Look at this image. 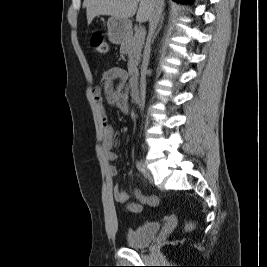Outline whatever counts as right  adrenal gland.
<instances>
[{
    "instance_id": "1",
    "label": "right adrenal gland",
    "mask_w": 267,
    "mask_h": 267,
    "mask_svg": "<svg viewBox=\"0 0 267 267\" xmlns=\"http://www.w3.org/2000/svg\"><path fill=\"white\" fill-rule=\"evenodd\" d=\"M163 21H164V15H162V17L160 19V23L158 25V29H157L156 33L153 36L152 43L154 42V39L156 38L157 34L159 33L160 29L162 28Z\"/></svg>"
}]
</instances>
